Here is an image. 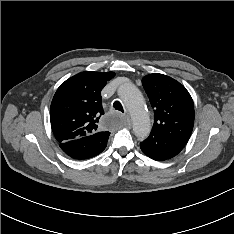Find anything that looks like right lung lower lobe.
I'll list each match as a JSON object with an SVG mask.
<instances>
[{
	"mask_svg": "<svg viewBox=\"0 0 234 234\" xmlns=\"http://www.w3.org/2000/svg\"><path fill=\"white\" fill-rule=\"evenodd\" d=\"M108 137L94 134L60 143V147L74 159H88L98 155L106 148Z\"/></svg>",
	"mask_w": 234,
	"mask_h": 234,
	"instance_id": "98d812e1",
	"label": "right lung lower lobe"
}]
</instances>
